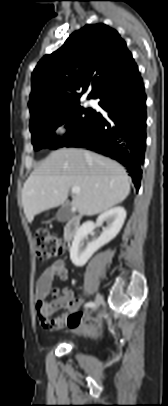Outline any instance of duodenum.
Here are the masks:
<instances>
[{"label":"duodenum","instance_id":"1","mask_svg":"<svg viewBox=\"0 0 168 406\" xmlns=\"http://www.w3.org/2000/svg\"><path fill=\"white\" fill-rule=\"evenodd\" d=\"M81 219H82V217L80 214H74L66 222L65 227H64V234H63L64 240L66 242H70L73 239L74 235L76 234V232L80 226Z\"/></svg>","mask_w":168,"mask_h":406}]
</instances>
